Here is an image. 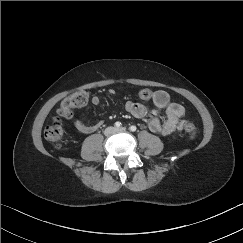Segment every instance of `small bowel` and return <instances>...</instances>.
Listing matches in <instances>:
<instances>
[{"label": "small bowel", "instance_id": "small-bowel-1", "mask_svg": "<svg viewBox=\"0 0 243 243\" xmlns=\"http://www.w3.org/2000/svg\"><path fill=\"white\" fill-rule=\"evenodd\" d=\"M148 92L149 96H145ZM110 94H113V90H109ZM140 98L147 100L152 98V104L154 106L153 116L149 121V128L154 133L162 136L172 134L174 132L181 131L184 127L185 122L183 116L185 113L184 107L178 103L171 102L170 95L165 90H157L151 93L148 89H142L139 93ZM92 103L97 105L100 103V97L94 95L92 97ZM125 110L133 117L142 118L148 110L149 105L143 102H135L129 100L125 103ZM164 112L166 115V121L162 123L160 119L161 113ZM103 122L99 121L94 124H88L80 118L74 120V126L77 130L82 133H91L102 126Z\"/></svg>", "mask_w": 243, "mask_h": 243}]
</instances>
